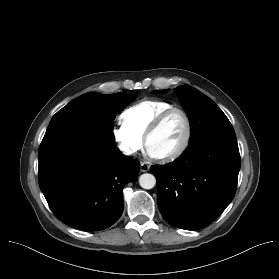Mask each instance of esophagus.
<instances>
[{
	"instance_id": "1",
	"label": "esophagus",
	"mask_w": 279,
	"mask_h": 279,
	"mask_svg": "<svg viewBox=\"0 0 279 279\" xmlns=\"http://www.w3.org/2000/svg\"><path fill=\"white\" fill-rule=\"evenodd\" d=\"M150 169V165L147 162H141L140 164V171L147 172Z\"/></svg>"
}]
</instances>
